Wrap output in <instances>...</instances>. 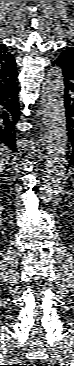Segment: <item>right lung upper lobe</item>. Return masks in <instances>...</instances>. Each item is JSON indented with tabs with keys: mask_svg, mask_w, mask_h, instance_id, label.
Segmentation results:
<instances>
[{
	"mask_svg": "<svg viewBox=\"0 0 74 366\" xmlns=\"http://www.w3.org/2000/svg\"><path fill=\"white\" fill-rule=\"evenodd\" d=\"M18 76L14 57L5 44L0 43V86L9 85Z\"/></svg>",
	"mask_w": 74,
	"mask_h": 366,
	"instance_id": "right-lung-upper-lobe-1",
	"label": "right lung upper lobe"
}]
</instances>
